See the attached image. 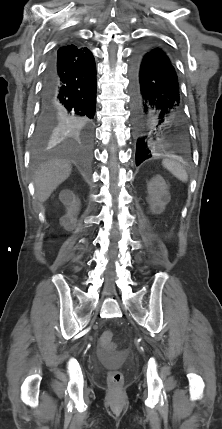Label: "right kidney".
<instances>
[{"label":"right kidney","mask_w":222,"mask_h":429,"mask_svg":"<svg viewBox=\"0 0 222 429\" xmlns=\"http://www.w3.org/2000/svg\"><path fill=\"white\" fill-rule=\"evenodd\" d=\"M59 199L67 207V213L60 219V224L66 230H72L75 226L79 211L80 201L71 190H63Z\"/></svg>","instance_id":"1"}]
</instances>
